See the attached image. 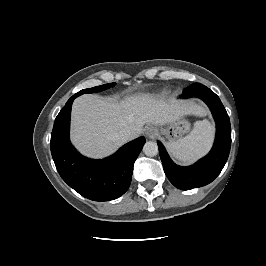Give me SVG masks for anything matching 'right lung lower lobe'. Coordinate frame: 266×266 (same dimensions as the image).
<instances>
[{
    "mask_svg": "<svg viewBox=\"0 0 266 266\" xmlns=\"http://www.w3.org/2000/svg\"><path fill=\"white\" fill-rule=\"evenodd\" d=\"M73 95L57 115L51 134V154L61 178L76 192L94 201H109L129 188L134 162L145 138H137L112 156L94 160L82 156L70 143L69 128Z\"/></svg>",
    "mask_w": 266,
    "mask_h": 266,
    "instance_id": "obj_1",
    "label": "right lung lower lobe"
}]
</instances>
